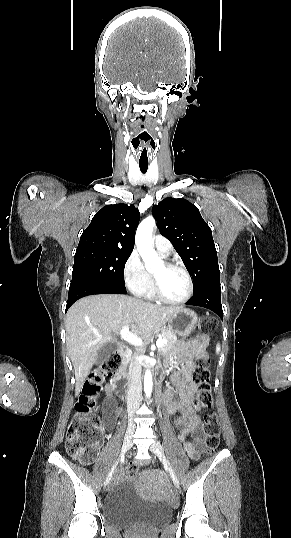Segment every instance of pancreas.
I'll list each match as a JSON object with an SVG mask.
<instances>
[{
  "label": "pancreas",
  "mask_w": 291,
  "mask_h": 538,
  "mask_svg": "<svg viewBox=\"0 0 291 538\" xmlns=\"http://www.w3.org/2000/svg\"><path fill=\"white\" fill-rule=\"evenodd\" d=\"M161 337L168 341L167 343H164L162 345V347L159 348L160 352L165 353V352H167V351H169L170 349L173 348L174 344L177 341V337H176V335L174 333H172L169 330H162ZM139 353H143V350L138 349L137 354H139ZM126 362H127V359L125 360V363Z\"/></svg>",
  "instance_id": "obj_1"
}]
</instances>
